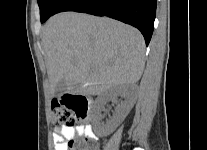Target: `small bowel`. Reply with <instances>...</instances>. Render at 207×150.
<instances>
[{"instance_id": "obj_1", "label": "small bowel", "mask_w": 207, "mask_h": 150, "mask_svg": "<svg viewBox=\"0 0 207 150\" xmlns=\"http://www.w3.org/2000/svg\"><path fill=\"white\" fill-rule=\"evenodd\" d=\"M83 136L86 140H96L97 135L89 124L80 126H62L53 133L55 150H66V144L77 137Z\"/></svg>"}]
</instances>
